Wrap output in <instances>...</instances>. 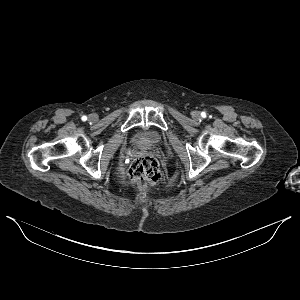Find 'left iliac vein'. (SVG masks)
I'll return each instance as SVG.
<instances>
[{"instance_id":"obj_1","label":"left iliac vein","mask_w":300,"mask_h":300,"mask_svg":"<svg viewBox=\"0 0 300 300\" xmlns=\"http://www.w3.org/2000/svg\"><path fill=\"white\" fill-rule=\"evenodd\" d=\"M199 117H200V114L198 112H195L193 115V118L197 120V119H199Z\"/></svg>"}]
</instances>
